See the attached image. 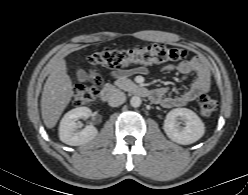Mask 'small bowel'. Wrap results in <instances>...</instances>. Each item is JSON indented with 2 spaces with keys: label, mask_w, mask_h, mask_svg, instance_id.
<instances>
[{
  "label": "small bowel",
  "mask_w": 248,
  "mask_h": 195,
  "mask_svg": "<svg viewBox=\"0 0 248 195\" xmlns=\"http://www.w3.org/2000/svg\"><path fill=\"white\" fill-rule=\"evenodd\" d=\"M165 70H176L181 74H193L195 79L190 85V87L179 94L169 96L167 95V90L164 88H158L151 92V96L154 101L158 102L165 108H175L182 107L187 103L197 99L202 94L206 93L212 84L211 74L205 64V62L194 57L188 60H184L179 64L167 65ZM144 68H135L131 70H115L111 73L114 78L128 76L133 73H144ZM88 77L87 73L80 71L79 78L84 80Z\"/></svg>",
  "instance_id": "small-bowel-1"
}]
</instances>
